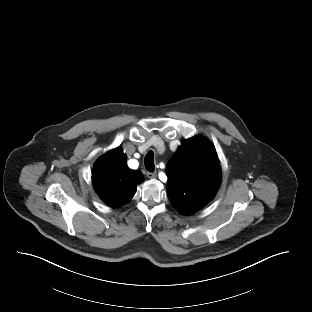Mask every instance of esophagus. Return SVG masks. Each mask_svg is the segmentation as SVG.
<instances>
[{
  "label": "esophagus",
  "instance_id": "1",
  "mask_svg": "<svg viewBox=\"0 0 312 312\" xmlns=\"http://www.w3.org/2000/svg\"><path fill=\"white\" fill-rule=\"evenodd\" d=\"M147 177L150 178V179H154L156 178V172H147Z\"/></svg>",
  "mask_w": 312,
  "mask_h": 312
}]
</instances>
